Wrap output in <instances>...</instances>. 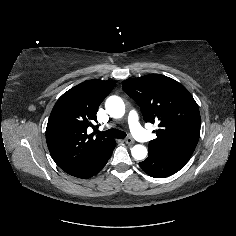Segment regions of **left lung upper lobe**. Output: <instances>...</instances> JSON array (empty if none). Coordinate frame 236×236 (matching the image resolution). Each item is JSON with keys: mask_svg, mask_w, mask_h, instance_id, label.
Masks as SVG:
<instances>
[{"mask_svg": "<svg viewBox=\"0 0 236 236\" xmlns=\"http://www.w3.org/2000/svg\"><path fill=\"white\" fill-rule=\"evenodd\" d=\"M124 91L141 109L146 122L159 123L149 152L191 156L200 136V113L187 89L172 78L150 74L123 81Z\"/></svg>", "mask_w": 236, "mask_h": 236, "instance_id": "1", "label": "left lung upper lobe"}]
</instances>
